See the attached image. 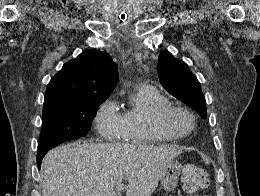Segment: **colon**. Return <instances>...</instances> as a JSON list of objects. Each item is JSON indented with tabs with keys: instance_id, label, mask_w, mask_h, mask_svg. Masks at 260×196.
I'll use <instances>...</instances> for the list:
<instances>
[{
	"instance_id": "colon-1",
	"label": "colon",
	"mask_w": 260,
	"mask_h": 196,
	"mask_svg": "<svg viewBox=\"0 0 260 196\" xmlns=\"http://www.w3.org/2000/svg\"><path fill=\"white\" fill-rule=\"evenodd\" d=\"M181 181L186 191L191 195H197L208 187V175L202 167L195 164H186L182 167Z\"/></svg>"
}]
</instances>
